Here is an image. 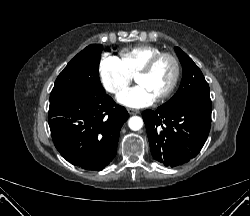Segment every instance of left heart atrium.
Returning <instances> with one entry per match:
<instances>
[{
	"mask_svg": "<svg viewBox=\"0 0 250 216\" xmlns=\"http://www.w3.org/2000/svg\"><path fill=\"white\" fill-rule=\"evenodd\" d=\"M153 94L142 84L127 90L118 97V102L131 108H142L154 100Z\"/></svg>",
	"mask_w": 250,
	"mask_h": 216,
	"instance_id": "obj_1",
	"label": "left heart atrium"
}]
</instances>
